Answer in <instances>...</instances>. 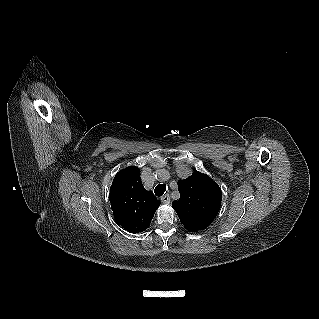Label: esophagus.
Returning <instances> with one entry per match:
<instances>
[{"mask_svg": "<svg viewBox=\"0 0 319 319\" xmlns=\"http://www.w3.org/2000/svg\"><path fill=\"white\" fill-rule=\"evenodd\" d=\"M161 202L162 203H170V195L169 194H165L161 197Z\"/></svg>", "mask_w": 319, "mask_h": 319, "instance_id": "1", "label": "esophagus"}]
</instances>
